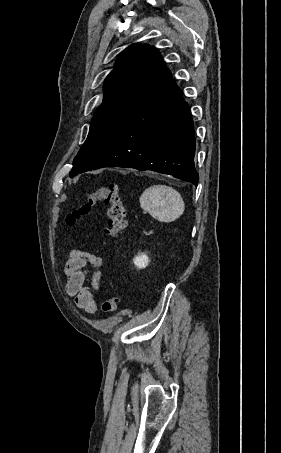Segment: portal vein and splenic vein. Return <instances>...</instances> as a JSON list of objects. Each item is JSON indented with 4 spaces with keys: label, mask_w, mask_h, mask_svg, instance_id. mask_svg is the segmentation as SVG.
<instances>
[{
    "label": "portal vein and splenic vein",
    "mask_w": 281,
    "mask_h": 453,
    "mask_svg": "<svg viewBox=\"0 0 281 453\" xmlns=\"http://www.w3.org/2000/svg\"><path fill=\"white\" fill-rule=\"evenodd\" d=\"M145 213H147V210H144V212L142 214L144 215Z\"/></svg>",
    "instance_id": "18ae733b"
}]
</instances>
